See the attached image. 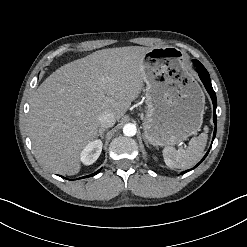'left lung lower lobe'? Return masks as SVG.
Returning <instances> with one entry per match:
<instances>
[{"instance_id": "obj_1", "label": "left lung lower lobe", "mask_w": 247, "mask_h": 247, "mask_svg": "<svg viewBox=\"0 0 247 247\" xmlns=\"http://www.w3.org/2000/svg\"><path fill=\"white\" fill-rule=\"evenodd\" d=\"M194 65L196 66V71L199 73V77H200L201 81L203 82L206 90L210 94V97H211L212 102H213V107H214L213 121L215 123V130H214V134H213V140H214L215 135H216V126H217V118H216L217 100H216V95H215V92H214V90L212 88L210 75L207 72V70L205 69V67L199 61L194 62ZM208 153H209V151L206 153V155L203 157V159L195 167H197L206 158ZM190 170H192V169H190ZM190 170L184 171L182 174H184V173H186V172H188Z\"/></svg>"}]
</instances>
